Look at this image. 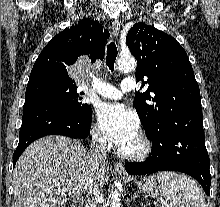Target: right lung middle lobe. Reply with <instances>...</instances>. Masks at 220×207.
<instances>
[{
  "mask_svg": "<svg viewBox=\"0 0 220 207\" xmlns=\"http://www.w3.org/2000/svg\"><path fill=\"white\" fill-rule=\"evenodd\" d=\"M31 97L46 98L76 113H85L91 108L88 104L81 101L82 97H80L77 92L76 85H69L56 81L43 80L27 85L25 100Z\"/></svg>",
  "mask_w": 220,
  "mask_h": 207,
  "instance_id": "dd1d6c3e",
  "label": "right lung middle lobe"
}]
</instances>
